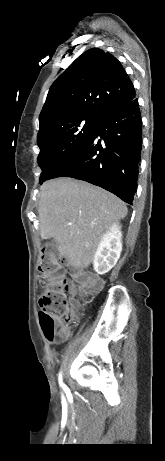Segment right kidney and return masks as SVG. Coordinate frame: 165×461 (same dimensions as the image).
Segmentation results:
<instances>
[{
    "mask_svg": "<svg viewBox=\"0 0 165 461\" xmlns=\"http://www.w3.org/2000/svg\"><path fill=\"white\" fill-rule=\"evenodd\" d=\"M122 251L121 226L117 223L110 226L109 230L102 236L94 255V270L104 275L117 263Z\"/></svg>",
    "mask_w": 165,
    "mask_h": 461,
    "instance_id": "ca27d5eb",
    "label": "right kidney"
}]
</instances>
